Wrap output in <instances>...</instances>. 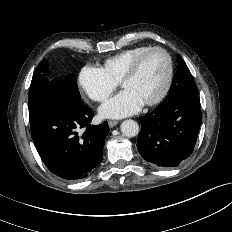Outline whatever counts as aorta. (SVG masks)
I'll return each instance as SVG.
<instances>
[{
    "instance_id": "1",
    "label": "aorta",
    "mask_w": 232,
    "mask_h": 232,
    "mask_svg": "<svg viewBox=\"0 0 232 232\" xmlns=\"http://www.w3.org/2000/svg\"><path fill=\"white\" fill-rule=\"evenodd\" d=\"M121 132L126 137H134L139 133L138 123L134 120H125L121 124Z\"/></svg>"
}]
</instances>
